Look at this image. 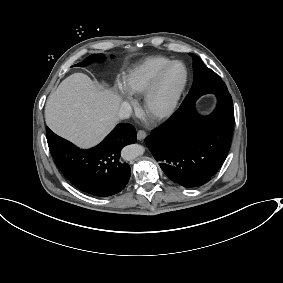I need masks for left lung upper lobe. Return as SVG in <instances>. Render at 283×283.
<instances>
[{
    "instance_id": "obj_1",
    "label": "left lung upper lobe",
    "mask_w": 283,
    "mask_h": 283,
    "mask_svg": "<svg viewBox=\"0 0 283 283\" xmlns=\"http://www.w3.org/2000/svg\"><path fill=\"white\" fill-rule=\"evenodd\" d=\"M190 56L193 58L194 81L190 92L182 103L183 106L195 102L206 93L228 92L219 75L207 68L198 56L192 53Z\"/></svg>"
}]
</instances>
